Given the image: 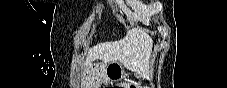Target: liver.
<instances>
[{"label": "liver", "instance_id": "1", "mask_svg": "<svg viewBox=\"0 0 227 88\" xmlns=\"http://www.w3.org/2000/svg\"><path fill=\"white\" fill-rule=\"evenodd\" d=\"M152 44V38L146 32L132 28L127 31L123 39L99 44L90 49L86 64H90L95 59L108 63L119 61L126 68L138 71L148 61Z\"/></svg>", "mask_w": 227, "mask_h": 88}]
</instances>
